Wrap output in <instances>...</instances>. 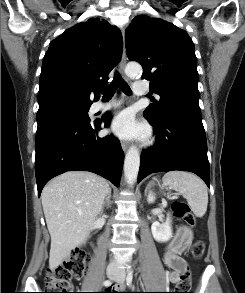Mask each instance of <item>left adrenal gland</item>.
<instances>
[{
    "label": "left adrenal gland",
    "mask_w": 245,
    "mask_h": 293,
    "mask_svg": "<svg viewBox=\"0 0 245 293\" xmlns=\"http://www.w3.org/2000/svg\"><path fill=\"white\" fill-rule=\"evenodd\" d=\"M149 186H150V184H149V185L147 186V188L145 189V195H146V193H147V190H148Z\"/></svg>",
    "instance_id": "obj_1"
}]
</instances>
